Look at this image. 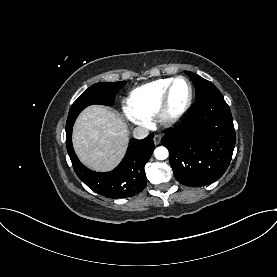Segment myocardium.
<instances>
[{"mask_svg": "<svg viewBox=\"0 0 277 277\" xmlns=\"http://www.w3.org/2000/svg\"><path fill=\"white\" fill-rule=\"evenodd\" d=\"M180 80H183L187 83L188 88H189V95H188V98H187L185 104L182 106V108L175 113H171L170 112V100H171L172 91H173L175 84ZM193 97H194L193 85L188 78H186L184 76H178V77L173 78V80L170 82V84L166 88V90L162 96L161 102L159 104V107L157 109L156 115H157L158 120L163 125H166V126H171V125L177 124L184 118V116L187 114V112L191 108V105L193 102Z\"/></svg>", "mask_w": 277, "mask_h": 277, "instance_id": "obj_1", "label": "myocardium"}]
</instances>
